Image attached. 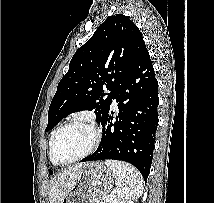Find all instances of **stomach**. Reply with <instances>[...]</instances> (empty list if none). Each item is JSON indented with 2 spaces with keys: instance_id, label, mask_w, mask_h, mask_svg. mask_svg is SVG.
Masks as SVG:
<instances>
[{
  "instance_id": "1",
  "label": "stomach",
  "mask_w": 214,
  "mask_h": 203,
  "mask_svg": "<svg viewBox=\"0 0 214 203\" xmlns=\"http://www.w3.org/2000/svg\"><path fill=\"white\" fill-rule=\"evenodd\" d=\"M114 180V172L103 163H85L62 203H102L111 192Z\"/></svg>"
}]
</instances>
